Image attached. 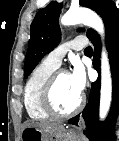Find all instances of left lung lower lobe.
<instances>
[{
    "label": "left lung lower lobe",
    "mask_w": 119,
    "mask_h": 141,
    "mask_svg": "<svg viewBox=\"0 0 119 141\" xmlns=\"http://www.w3.org/2000/svg\"><path fill=\"white\" fill-rule=\"evenodd\" d=\"M106 46L110 59V67L113 82V100L111 110L104 123L98 120L100 77L92 83L88 104L83 110V118L87 128L84 134L90 141H114V126L119 112V11L116 10L105 22ZM94 45V68L100 74V51L101 42L95 32L88 37ZM79 115L70 119V124H77Z\"/></svg>",
    "instance_id": "0a47b994"
}]
</instances>
